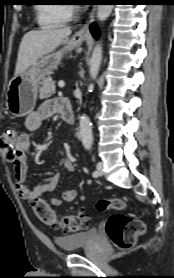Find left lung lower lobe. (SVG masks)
<instances>
[{"label": "left lung lower lobe", "instance_id": "1", "mask_svg": "<svg viewBox=\"0 0 174 278\" xmlns=\"http://www.w3.org/2000/svg\"><path fill=\"white\" fill-rule=\"evenodd\" d=\"M90 31H91L92 35H93L95 38H98V36H99V30H98L96 24H94V23L91 24V26H90Z\"/></svg>", "mask_w": 174, "mask_h": 278}]
</instances>
